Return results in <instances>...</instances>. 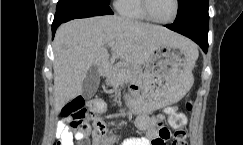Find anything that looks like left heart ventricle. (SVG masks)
<instances>
[{
    "label": "left heart ventricle",
    "mask_w": 243,
    "mask_h": 145,
    "mask_svg": "<svg viewBox=\"0 0 243 145\" xmlns=\"http://www.w3.org/2000/svg\"><path fill=\"white\" fill-rule=\"evenodd\" d=\"M152 15L161 21L171 19L174 13V0H149Z\"/></svg>",
    "instance_id": "1"
}]
</instances>
